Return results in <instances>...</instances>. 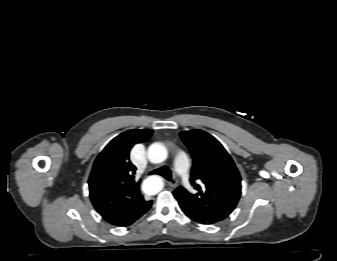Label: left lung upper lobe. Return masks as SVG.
<instances>
[{
	"label": "left lung upper lobe",
	"instance_id": "1",
	"mask_svg": "<svg viewBox=\"0 0 337 261\" xmlns=\"http://www.w3.org/2000/svg\"><path fill=\"white\" fill-rule=\"evenodd\" d=\"M180 137L192 154L190 182L196 192L192 194L178 187L173 194L181 209L209 222H220L234 210L240 198L238 169L221 143L210 134L191 130L181 132Z\"/></svg>",
	"mask_w": 337,
	"mask_h": 261
}]
</instances>
